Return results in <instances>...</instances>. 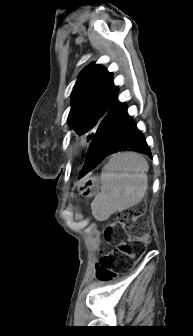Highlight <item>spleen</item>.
Returning <instances> with one entry per match:
<instances>
[{"label": "spleen", "mask_w": 193, "mask_h": 336, "mask_svg": "<svg viewBox=\"0 0 193 336\" xmlns=\"http://www.w3.org/2000/svg\"><path fill=\"white\" fill-rule=\"evenodd\" d=\"M148 163L135 152L114 154L103 168L101 192L91 203L98 221L107 220L114 212L137 205L147 190Z\"/></svg>", "instance_id": "obj_1"}]
</instances>
